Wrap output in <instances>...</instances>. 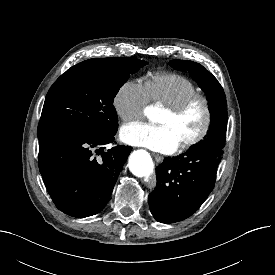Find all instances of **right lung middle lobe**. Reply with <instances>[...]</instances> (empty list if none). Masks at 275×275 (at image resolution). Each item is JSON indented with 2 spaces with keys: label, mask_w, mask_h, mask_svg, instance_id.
<instances>
[{
  "label": "right lung middle lobe",
  "mask_w": 275,
  "mask_h": 275,
  "mask_svg": "<svg viewBox=\"0 0 275 275\" xmlns=\"http://www.w3.org/2000/svg\"><path fill=\"white\" fill-rule=\"evenodd\" d=\"M146 64L134 57L95 58L69 68L47 93L37 130L39 141L116 132L114 97L130 74Z\"/></svg>",
  "instance_id": "dd1d6c3e"
}]
</instances>
